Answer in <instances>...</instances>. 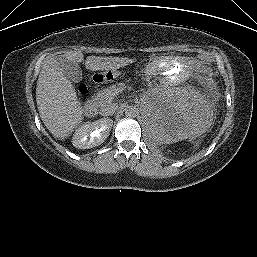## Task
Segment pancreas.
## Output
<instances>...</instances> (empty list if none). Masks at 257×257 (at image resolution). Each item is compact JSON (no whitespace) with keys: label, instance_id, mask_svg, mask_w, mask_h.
<instances>
[{"label":"pancreas","instance_id":"pancreas-1","mask_svg":"<svg viewBox=\"0 0 257 257\" xmlns=\"http://www.w3.org/2000/svg\"><path fill=\"white\" fill-rule=\"evenodd\" d=\"M123 87V83H118L113 84L108 88H104L95 94L92 98V103L99 108L103 107L107 103L111 102L117 94L116 92L120 91Z\"/></svg>","mask_w":257,"mask_h":257}]
</instances>
